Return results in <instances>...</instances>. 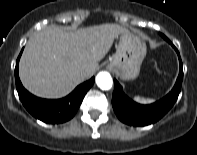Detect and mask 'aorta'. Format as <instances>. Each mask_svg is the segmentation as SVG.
<instances>
[{
	"mask_svg": "<svg viewBox=\"0 0 197 155\" xmlns=\"http://www.w3.org/2000/svg\"><path fill=\"white\" fill-rule=\"evenodd\" d=\"M96 84L101 90H109L113 86V80L108 72H99L96 76Z\"/></svg>",
	"mask_w": 197,
	"mask_h": 155,
	"instance_id": "obj_1",
	"label": "aorta"
}]
</instances>
